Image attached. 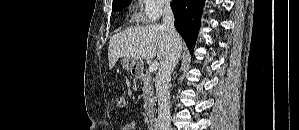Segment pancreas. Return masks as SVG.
I'll return each instance as SVG.
<instances>
[{"label": "pancreas", "mask_w": 299, "mask_h": 130, "mask_svg": "<svg viewBox=\"0 0 299 130\" xmlns=\"http://www.w3.org/2000/svg\"><path fill=\"white\" fill-rule=\"evenodd\" d=\"M142 85V93L144 97V109L146 115L150 118L155 113V96L153 90V83L151 81V76L148 72L141 73L139 75Z\"/></svg>", "instance_id": "1"}]
</instances>
